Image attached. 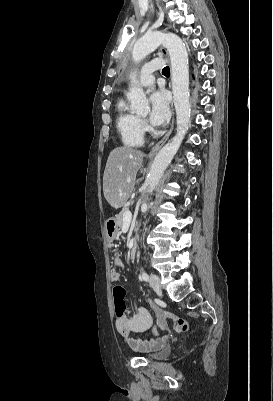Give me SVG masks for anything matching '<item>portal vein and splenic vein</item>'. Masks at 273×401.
<instances>
[{"label":"portal vein and splenic vein","instance_id":"18ae733b","mask_svg":"<svg viewBox=\"0 0 273 401\" xmlns=\"http://www.w3.org/2000/svg\"><path fill=\"white\" fill-rule=\"evenodd\" d=\"M131 219H132L131 211H125L123 215V221H125V223H131Z\"/></svg>","mask_w":273,"mask_h":401}]
</instances>
